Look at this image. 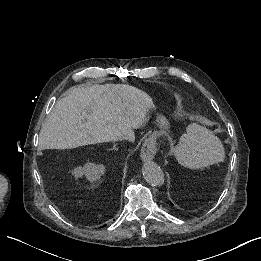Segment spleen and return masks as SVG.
Segmentation results:
<instances>
[{
    "instance_id": "spleen-1",
    "label": "spleen",
    "mask_w": 261,
    "mask_h": 261,
    "mask_svg": "<svg viewBox=\"0 0 261 261\" xmlns=\"http://www.w3.org/2000/svg\"><path fill=\"white\" fill-rule=\"evenodd\" d=\"M179 162L188 168L199 169L224 160L220 140L207 129L191 125L181 136L176 148Z\"/></svg>"
}]
</instances>
